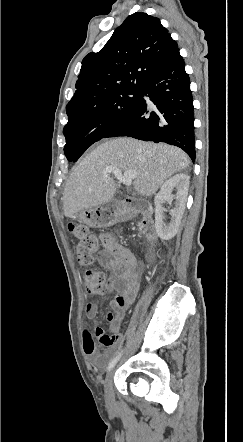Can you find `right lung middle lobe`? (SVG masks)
Here are the masks:
<instances>
[{"label": "right lung middle lobe", "instance_id": "obj_1", "mask_svg": "<svg viewBox=\"0 0 243 442\" xmlns=\"http://www.w3.org/2000/svg\"><path fill=\"white\" fill-rule=\"evenodd\" d=\"M139 94L140 91L119 93L68 117V123L63 129L67 159L77 161L89 146L105 138L113 127L130 114Z\"/></svg>", "mask_w": 243, "mask_h": 442}]
</instances>
